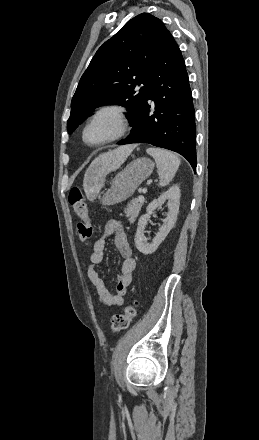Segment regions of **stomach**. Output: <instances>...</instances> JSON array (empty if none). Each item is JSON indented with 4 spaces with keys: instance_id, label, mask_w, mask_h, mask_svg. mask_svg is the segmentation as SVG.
<instances>
[{
    "instance_id": "0dacf381",
    "label": "stomach",
    "mask_w": 259,
    "mask_h": 440,
    "mask_svg": "<svg viewBox=\"0 0 259 440\" xmlns=\"http://www.w3.org/2000/svg\"><path fill=\"white\" fill-rule=\"evenodd\" d=\"M154 169L149 158H137L129 163L111 181V187L101 199L104 205L120 203L133 195L139 185L147 179Z\"/></svg>"
}]
</instances>
